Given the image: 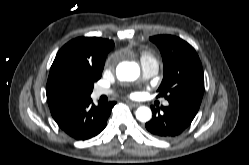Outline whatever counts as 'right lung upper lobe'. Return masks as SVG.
I'll list each match as a JSON object with an SVG mask.
<instances>
[{
    "instance_id": "cb5924a9",
    "label": "right lung upper lobe",
    "mask_w": 249,
    "mask_h": 165,
    "mask_svg": "<svg viewBox=\"0 0 249 165\" xmlns=\"http://www.w3.org/2000/svg\"><path fill=\"white\" fill-rule=\"evenodd\" d=\"M112 40L98 37H79L65 44L51 66L46 95L48 105L89 97L86 74L100 73Z\"/></svg>"
}]
</instances>
